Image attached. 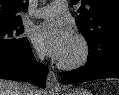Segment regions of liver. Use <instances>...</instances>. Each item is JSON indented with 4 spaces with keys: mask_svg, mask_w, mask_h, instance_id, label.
<instances>
[{
    "mask_svg": "<svg viewBox=\"0 0 119 95\" xmlns=\"http://www.w3.org/2000/svg\"><path fill=\"white\" fill-rule=\"evenodd\" d=\"M23 84L10 80H0V95H21ZM34 95H43L44 92L39 89H33Z\"/></svg>",
    "mask_w": 119,
    "mask_h": 95,
    "instance_id": "6515ba94",
    "label": "liver"
}]
</instances>
